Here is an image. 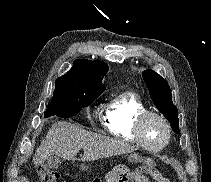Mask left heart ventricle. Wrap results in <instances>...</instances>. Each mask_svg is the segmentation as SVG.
<instances>
[{"label":"left heart ventricle","instance_id":"b2bd125f","mask_svg":"<svg viewBox=\"0 0 211 182\" xmlns=\"http://www.w3.org/2000/svg\"><path fill=\"white\" fill-rule=\"evenodd\" d=\"M167 131L161 120L155 117L148 118L143 125V137L150 146H158L164 142Z\"/></svg>","mask_w":211,"mask_h":182}]
</instances>
